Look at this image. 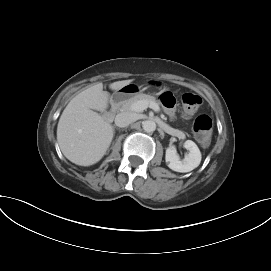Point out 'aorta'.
<instances>
[{
	"mask_svg": "<svg viewBox=\"0 0 271 271\" xmlns=\"http://www.w3.org/2000/svg\"><path fill=\"white\" fill-rule=\"evenodd\" d=\"M145 132H154L156 130V123L153 120H146L142 123Z\"/></svg>",
	"mask_w": 271,
	"mask_h": 271,
	"instance_id": "762f6f07",
	"label": "aorta"
}]
</instances>
